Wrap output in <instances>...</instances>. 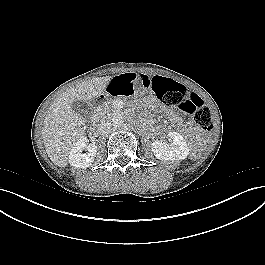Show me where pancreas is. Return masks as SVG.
<instances>
[{"mask_svg":"<svg viewBox=\"0 0 265 265\" xmlns=\"http://www.w3.org/2000/svg\"><path fill=\"white\" fill-rule=\"evenodd\" d=\"M113 103H114V101H110V102L106 103L105 105H103L99 109V115H101L102 117H108L114 113L116 114V112H118L119 109L115 108Z\"/></svg>","mask_w":265,"mask_h":265,"instance_id":"cf45deb5","label":"pancreas"}]
</instances>
